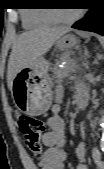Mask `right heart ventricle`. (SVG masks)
Here are the masks:
<instances>
[{"label":"right heart ventricle","instance_id":"right-heart-ventricle-1","mask_svg":"<svg viewBox=\"0 0 104 169\" xmlns=\"http://www.w3.org/2000/svg\"><path fill=\"white\" fill-rule=\"evenodd\" d=\"M22 20L27 28L48 26L54 23L48 13L43 10L25 11L22 13Z\"/></svg>","mask_w":104,"mask_h":169}]
</instances>
